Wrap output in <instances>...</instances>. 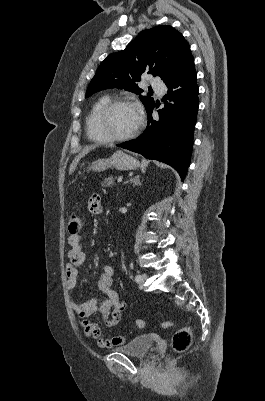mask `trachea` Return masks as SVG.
I'll list each match as a JSON object with an SVG mask.
<instances>
[{
	"label": "trachea",
	"mask_w": 265,
	"mask_h": 401,
	"mask_svg": "<svg viewBox=\"0 0 265 401\" xmlns=\"http://www.w3.org/2000/svg\"><path fill=\"white\" fill-rule=\"evenodd\" d=\"M149 93H153V90H149Z\"/></svg>",
	"instance_id": "obj_1"
}]
</instances>
